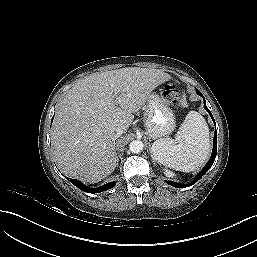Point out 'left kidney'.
Segmentation results:
<instances>
[{"label": "left kidney", "mask_w": 257, "mask_h": 257, "mask_svg": "<svg viewBox=\"0 0 257 257\" xmlns=\"http://www.w3.org/2000/svg\"><path fill=\"white\" fill-rule=\"evenodd\" d=\"M164 173H165V174H166V176H168V177L173 176V174H172L170 171H167V170H166Z\"/></svg>", "instance_id": "1"}]
</instances>
